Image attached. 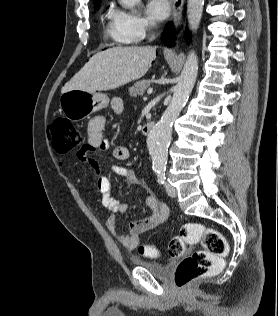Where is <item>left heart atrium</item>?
Wrapping results in <instances>:
<instances>
[{"mask_svg":"<svg viewBox=\"0 0 278 316\" xmlns=\"http://www.w3.org/2000/svg\"><path fill=\"white\" fill-rule=\"evenodd\" d=\"M146 12L153 20L162 21L166 19L170 14L169 0H150L146 6Z\"/></svg>","mask_w":278,"mask_h":316,"instance_id":"39dd6f15","label":"left heart atrium"}]
</instances>
